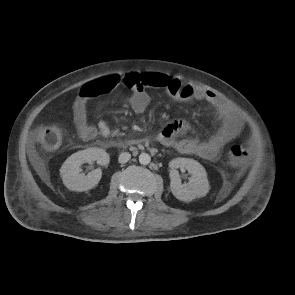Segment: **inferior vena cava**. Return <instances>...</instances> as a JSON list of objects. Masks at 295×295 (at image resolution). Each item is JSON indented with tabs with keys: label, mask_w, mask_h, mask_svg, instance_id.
Here are the masks:
<instances>
[{
	"label": "inferior vena cava",
	"mask_w": 295,
	"mask_h": 295,
	"mask_svg": "<svg viewBox=\"0 0 295 295\" xmlns=\"http://www.w3.org/2000/svg\"><path fill=\"white\" fill-rule=\"evenodd\" d=\"M131 154L128 152H123L119 155L118 161L119 163H126L130 160Z\"/></svg>",
	"instance_id": "inferior-vena-cava-1"
}]
</instances>
